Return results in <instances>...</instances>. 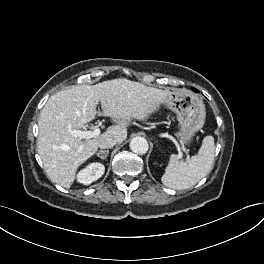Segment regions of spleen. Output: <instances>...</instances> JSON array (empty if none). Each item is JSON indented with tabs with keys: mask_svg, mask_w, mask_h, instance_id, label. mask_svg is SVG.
Segmentation results:
<instances>
[{
	"mask_svg": "<svg viewBox=\"0 0 264 264\" xmlns=\"http://www.w3.org/2000/svg\"><path fill=\"white\" fill-rule=\"evenodd\" d=\"M215 145L212 136L203 139L197 155L187 161H179L178 155H171L170 162L161 180L169 188L183 190L197 184L212 169Z\"/></svg>",
	"mask_w": 264,
	"mask_h": 264,
	"instance_id": "spleen-1",
	"label": "spleen"
}]
</instances>
